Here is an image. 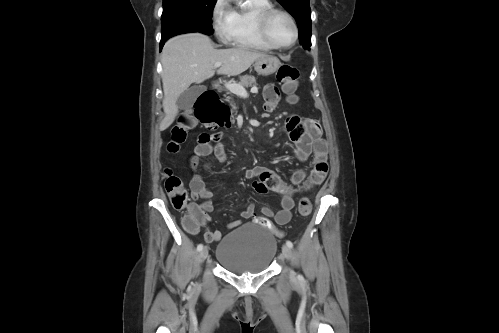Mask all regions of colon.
I'll return each instance as SVG.
<instances>
[{
	"label": "colon",
	"instance_id": "obj_1",
	"mask_svg": "<svg viewBox=\"0 0 499 333\" xmlns=\"http://www.w3.org/2000/svg\"><path fill=\"white\" fill-rule=\"evenodd\" d=\"M298 77V70L289 64L282 65L277 72V79L282 84L283 91L286 93L287 99L290 103H296L298 101V96L296 94ZM211 99L215 108V116L209 122H206V125L211 128H215L227 122L229 118V109L216 93L211 96ZM196 124L197 120L194 117L189 115L181 116L178 122L171 129L170 139L167 144L168 151L171 153L178 152L181 145L187 139L188 132L194 128ZM164 187L172 202V205L176 209H184L186 211L183 220L186 229L189 231L198 230L203 216L202 211L198 206L188 202L187 191L184 187L183 181L170 169L165 170ZM311 208L310 199L303 197L299 202L298 213L301 216H308L311 212ZM253 221L272 231L277 236H281V232L274 227L268 218L254 216Z\"/></svg>",
	"mask_w": 499,
	"mask_h": 333
}]
</instances>
